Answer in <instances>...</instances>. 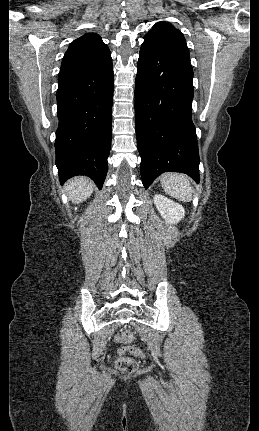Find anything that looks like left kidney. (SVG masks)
<instances>
[{
  "label": "left kidney",
  "mask_w": 259,
  "mask_h": 431,
  "mask_svg": "<svg viewBox=\"0 0 259 431\" xmlns=\"http://www.w3.org/2000/svg\"><path fill=\"white\" fill-rule=\"evenodd\" d=\"M153 200L157 210L166 222L175 224L181 221L184 217L185 210L180 204L161 194H156Z\"/></svg>",
  "instance_id": "1"
}]
</instances>
